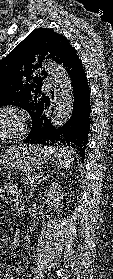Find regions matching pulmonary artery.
I'll return each instance as SVG.
<instances>
[{
	"label": "pulmonary artery",
	"instance_id": "obj_1",
	"mask_svg": "<svg viewBox=\"0 0 113 279\" xmlns=\"http://www.w3.org/2000/svg\"><path fill=\"white\" fill-rule=\"evenodd\" d=\"M43 87H44V89H49L50 88V83L45 82Z\"/></svg>",
	"mask_w": 113,
	"mask_h": 279
}]
</instances>
